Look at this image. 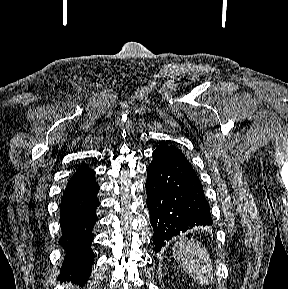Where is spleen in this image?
Masks as SVG:
<instances>
[{"instance_id":"spleen-1","label":"spleen","mask_w":288,"mask_h":289,"mask_svg":"<svg viewBox=\"0 0 288 289\" xmlns=\"http://www.w3.org/2000/svg\"><path fill=\"white\" fill-rule=\"evenodd\" d=\"M172 250L177 263L199 285L205 286L213 281L210 254L200 242L183 237L174 244Z\"/></svg>"}]
</instances>
